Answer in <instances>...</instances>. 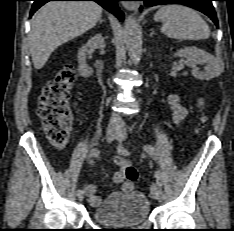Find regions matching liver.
Wrapping results in <instances>:
<instances>
[{
    "mask_svg": "<svg viewBox=\"0 0 234 231\" xmlns=\"http://www.w3.org/2000/svg\"><path fill=\"white\" fill-rule=\"evenodd\" d=\"M101 14L102 7L92 1H54L39 9L29 33L34 68L41 69L56 48L93 28Z\"/></svg>",
    "mask_w": 234,
    "mask_h": 231,
    "instance_id": "liver-1",
    "label": "liver"
}]
</instances>
